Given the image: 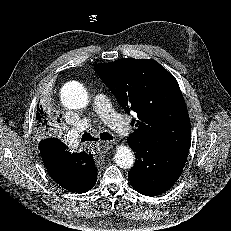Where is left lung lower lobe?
I'll return each mask as SVG.
<instances>
[{
  "mask_svg": "<svg viewBox=\"0 0 231 231\" xmlns=\"http://www.w3.org/2000/svg\"><path fill=\"white\" fill-rule=\"evenodd\" d=\"M128 144L136 153V162L128 174L135 190L146 196H156L174 185L188 154H174L151 145Z\"/></svg>",
  "mask_w": 231,
  "mask_h": 231,
  "instance_id": "left-lung-lower-lobe-1",
  "label": "left lung lower lobe"
}]
</instances>
